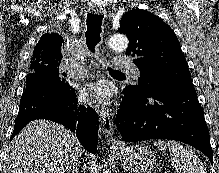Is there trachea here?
<instances>
[{
	"label": "trachea",
	"mask_w": 219,
	"mask_h": 173,
	"mask_svg": "<svg viewBox=\"0 0 219 173\" xmlns=\"http://www.w3.org/2000/svg\"><path fill=\"white\" fill-rule=\"evenodd\" d=\"M103 15L89 13L87 15V30L85 32L87 47L95 53L97 44L101 41ZM110 74L123 75L122 72L108 68Z\"/></svg>",
	"instance_id": "obj_1"
}]
</instances>
